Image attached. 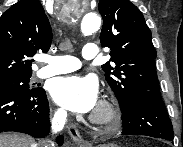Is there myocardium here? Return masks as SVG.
<instances>
[{
    "mask_svg": "<svg viewBox=\"0 0 183 147\" xmlns=\"http://www.w3.org/2000/svg\"><path fill=\"white\" fill-rule=\"evenodd\" d=\"M120 111L115 102L103 99L90 116V121L97 125H109L119 122Z\"/></svg>",
    "mask_w": 183,
    "mask_h": 147,
    "instance_id": "obj_1",
    "label": "myocardium"
}]
</instances>
